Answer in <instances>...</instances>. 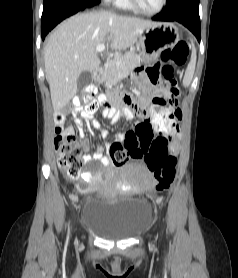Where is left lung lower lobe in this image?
Instances as JSON below:
<instances>
[{"instance_id":"obj_1","label":"left lung lower lobe","mask_w":238,"mask_h":278,"mask_svg":"<svg viewBox=\"0 0 238 278\" xmlns=\"http://www.w3.org/2000/svg\"><path fill=\"white\" fill-rule=\"evenodd\" d=\"M200 0H167L165 10L154 21H177L187 27L200 42Z\"/></svg>"}]
</instances>
